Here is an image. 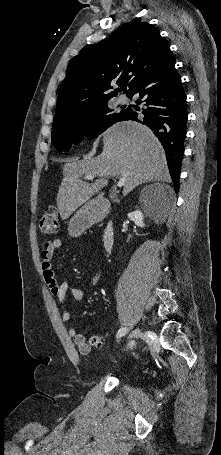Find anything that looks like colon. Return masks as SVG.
<instances>
[{"mask_svg":"<svg viewBox=\"0 0 221 455\" xmlns=\"http://www.w3.org/2000/svg\"><path fill=\"white\" fill-rule=\"evenodd\" d=\"M58 210L54 206H49L45 209L40 222L39 229L45 235H54L58 232ZM93 344H98L100 342L98 337L92 338ZM133 344H131L132 346Z\"/></svg>","mask_w":221,"mask_h":455,"instance_id":"1","label":"colon"}]
</instances>
